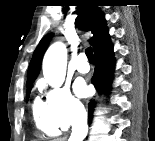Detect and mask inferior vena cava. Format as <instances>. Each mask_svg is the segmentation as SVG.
<instances>
[{
    "label": "inferior vena cava",
    "instance_id": "obj_1",
    "mask_svg": "<svg viewBox=\"0 0 155 141\" xmlns=\"http://www.w3.org/2000/svg\"><path fill=\"white\" fill-rule=\"evenodd\" d=\"M87 115L85 111H82L78 120L72 126V133L69 141H82L87 135Z\"/></svg>",
    "mask_w": 155,
    "mask_h": 141
}]
</instances>
